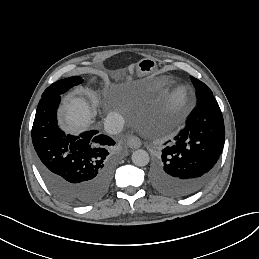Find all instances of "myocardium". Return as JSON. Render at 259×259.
Instances as JSON below:
<instances>
[{"label": "myocardium", "mask_w": 259, "mask_h": 259, "mask_svg": "<svg viewBox=\"0 0 259 259\" xmlns=\"http://www.w3.org/2000/svg\"><path fill=\"white\" fill-rule=\"evenodd\" d=\"M172 81H178L177 78L175 76H170V77H166V78H151V79H143L142 78V82L144 84V86H150L153 83H166V82H172ZM186 86L189 89L190 92V100L189 103L185 106V108L183 109V111L180 114V118H184L195 106L196 104V93H195V89L186 84Z\"/></svg>", "instance_id": "obj_1"}]
</instances>
